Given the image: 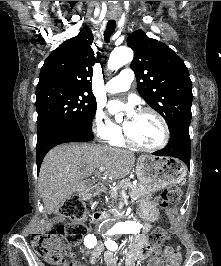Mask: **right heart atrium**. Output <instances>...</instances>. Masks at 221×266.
I'll return each instance as SVG.
<instances>
[{
    "label": "right heart atrium",
    "mask_w": 221,
    "mask_h": 266,
    "mask_svg": "<svg viewBox=\"0 0 221 266\" xmlns=\"http://www.w3.org/2000/svg\"><path fill=\"white\" fill-rule=\"evenodd\" d=\"M92 130L95 136L101 140L112 141L121 136L120 126L113 123L101 108H97L94 114Z\"/></svg>",
    "instance_id": "right-heart-atrium-1"
}]
</instances>
